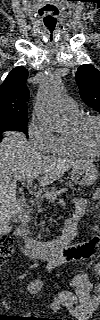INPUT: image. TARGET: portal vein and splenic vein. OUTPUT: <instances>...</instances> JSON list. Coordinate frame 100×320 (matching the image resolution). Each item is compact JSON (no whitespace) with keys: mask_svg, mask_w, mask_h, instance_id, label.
I'll return each mask as SVG.
<instances>
[{"mask_svg":"<svg viewBox=\"0 0 100 320\" xmlns=\"http://www.w3.org/2000/svg\"><path fill=\"white\" fill-rule=\"evenodd\" d=\"M35 178H30V179H20L21 181L26 180V182L28 183V185H30L31 187L33 186V181ZM66 189H62L60 191H56V192H52V191H46L45 192V197L49 200L54 202L57 199V196L66 192Z\"/></svg>","mask_w":100,"mask_h":320,"instance_id":"18ae733b","label":"portal vein and splenic vein"}]
</instances>
